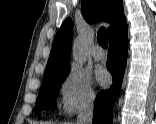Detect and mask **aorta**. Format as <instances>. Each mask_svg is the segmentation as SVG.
Here are the masks:
<instances>
[{"label":"aorta","instance_id":"762f6f07","mask_svg":"<svg viewBox=\"0 0 156 124\" xmlns=\"http://www.w3.org/2000/svg\"><path fill=\"white\" fill-rule=\"evenodd\" d=\"M72 56H73L74 62L77 65L82 66L86 62L87 53L84 48V43L79 37L76 38L73 42Z\"/></svg>","mask_w":156,"mask_h":124}]
</instances>
